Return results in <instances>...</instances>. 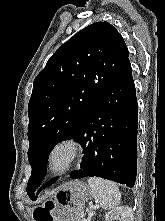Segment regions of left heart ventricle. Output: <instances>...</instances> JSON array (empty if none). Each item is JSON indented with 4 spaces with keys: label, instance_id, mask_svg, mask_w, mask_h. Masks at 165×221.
Segmentation results:
<instances>
[{
    "label": "left heart ventricle",
    "instance_id": "b2bd125f",
    "mask_svg": "<svg viewBox=\"0 0 165 221\" xmlns=\"http://www.w3.org/2000/svg\"><path fill=\"white\" fill-rule=\"evenodd\" d=\"M69 158V152L67 149H59L57 150L52 157V164L56 168L63 167Z\"/></svg>",
    "mask_w": 165,
    "mask_h": 221
}]
</instances>
